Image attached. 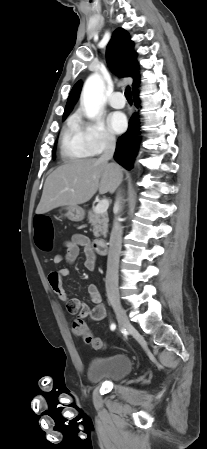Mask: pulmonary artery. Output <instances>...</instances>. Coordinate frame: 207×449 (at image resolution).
I'll use <instances>...</instances> for the list:
<instances>
[{"label":"pulmonary artery","mask_w":207,"mask_h":449,"mask_svg":"<svg viewBox=\"0 0 207 449\" xmlns=\"http://www.w3.org/2000/svg\"><path fill=\"white\" fill-rule=\"evenodd\" d=\"M109 104L113 108H123L125 106L124 95L118 91L114 92L109 99Z\"/></svg>","instance_id":"e3ab8cb5"}]
</instances>
